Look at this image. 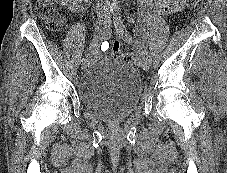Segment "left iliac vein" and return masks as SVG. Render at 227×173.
I'll return each mask as SVG.
<instances>
[{
    "mask_svg": "<svg viewBox=\"0 0 227 173\" xmlns=\"http://www.w3.org/2000/svg\"><path fill=\"white\" fill-rule=\"evenodd\" d=\"M115 14V13H114ZM113 14V16H114ZM111 16V15H110ZM119 35H121L124 38V32L123 33H119ZM151 65V59L149 57H146L142 62H141V67L143 68V70L147 71L149 70Z\"/></svg>",
    "mask_w": 227,
    "mask_h": 173,
    "instance_id": "1",
    "label": "left iliac vein"
}]
</instances>
